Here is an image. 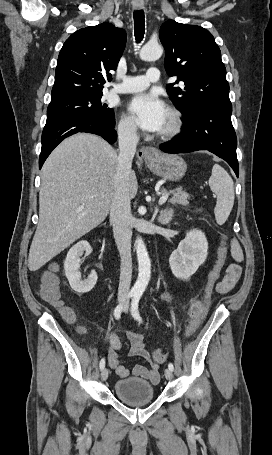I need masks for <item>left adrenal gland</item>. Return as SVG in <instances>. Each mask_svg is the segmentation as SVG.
Segmentation results:
<instances>
[{
    "label": "left adrenal gland",
    "mask_w": 272,
    "mask_h": 455,
    "mask_svg": "<svg viewBox=\"0 0 272 455\" xmlns=\"http://www.w3.org/2000/svg\"><path fill=\"white\" fill-rule=\"evenodd\" d=\"M158 208L157 206L155 207V216L157 215L158 213ZM172 216H173V210L172 209H165V210H161L160 211V215L158 216V222L163 224V225H166L170 222V220L172 219Z\"/></svg>",
    "instance_id": "obj_1"
}]
</instances>
